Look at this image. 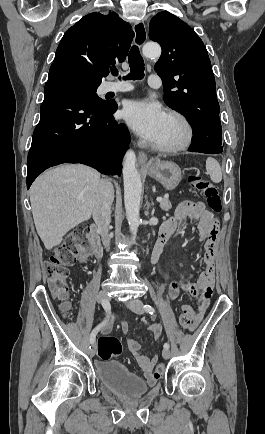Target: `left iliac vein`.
Here are the masks:
<instances>
[{
	"label": "left iliac vein",
	"instance_id": "obj_1",
	"mask_svg": "<svg viewBox=\"0 0 265 434\" xmlns=\"http://www.w3.org/2000/svg\"><path fill=\"white\" fill-rule=\"evenodd\" d=\"M142 305H143V303L138 299H133V300L127 302V307L137 314L143 313ZM162 355L165 359H168L170 357L169 349L164 348L162 351Z\"/></svg>",
	"mask_w": 265,
	"mask_h": 434
}]
</instances>
